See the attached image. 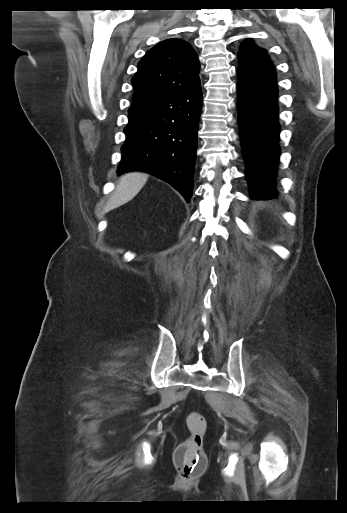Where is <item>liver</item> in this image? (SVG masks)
I'll return each instance as SVG.
<instances>
[{
	"instance_id": "6515ba94",
	"label": "liver",
	"mask_w": 347,
	"mask_h": 513,
	"mask_svg": "<svg viewBox=\"0 0 347 513\" xmlns=\"http://www.w3.org/2000/svg\"><path fill=\"white\" fill-rule=\"evenodd\" d=\"M148 175L142 172H130L124 174L117 186L110 202L105 207V211L113 210L132 200L143 188Z\"/></svg>"
}]
</instances>
